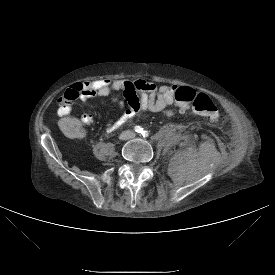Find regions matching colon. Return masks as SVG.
Instances as JSON below:
<instances>
[{
  "label": "colon",
  "mask_w": 275,
  "mask_h": 275,
  "mask_svg": "<svg viewBox=\"0 0 275 275\" xmlns=\"http://www.w3.org/2000/svg\"><path fill=\"white\" fill-rule=\"evenodd\" d=\"M76 98V92H70L59 98L58 102L61 105L62 113L69 112V108ZM175 100L179 109L183 112L191 109L195 113L205 116L212 122L217 121L219 118V108L217 104L204 92L196 91L190 87H182L176 91Z\"/></svg>",
  "instance_id": "5ec220e1"
}]
</instances>
